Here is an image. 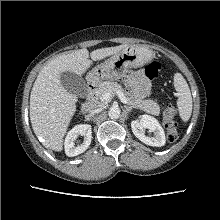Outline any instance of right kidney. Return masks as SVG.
<instances>
[{
    "label": "right kidney",
    "mask_w": 220,
    "mask_h": 220,
    "mask_svg": "<svg viewBox=\"0 0 220 220\" xmlns=\"http://www.w3.org/2000/svg\"><path fill=\"white\" fill-rule=\"evenodd\" d=\"M81 135L84 136L83 143L76 146L75 140ZM92 130L91 125L79 124L74 126L67 134L65 138V153L69 157L77 156L87 150L91 143Z\"/></svg>",
    "instance_id": "obj_1"
}]
</instances>
